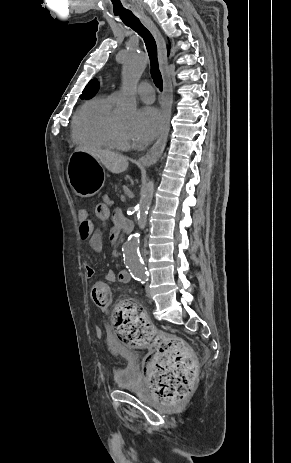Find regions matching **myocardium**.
Returning <instances> with one entry per match:
<instances>
[{"instance_id": "1", "label": "myocardium", "mask_w": 291, "mask_h": 463, "mask_svg": "<svg viewBox=\"0 0 291 463\" xmlns=\"http://www.w3.org/2000/svg\"><path fill=\"white\" fill-rule=\"evenodd\" d=\"M112 141L115 147L120 149H129L131 147L128 132L123 130L116 121L112 125Z\"/></svg>"}]
</instances>
